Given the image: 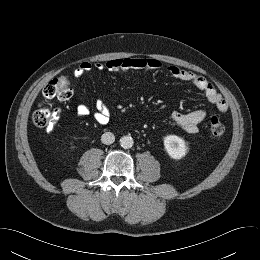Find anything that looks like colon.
Segmentation results:
<instances>
[{
	"label": "colon",
	"instance_id": "obj_1",
	"mask_svg": "<svg viewBox=\"0 0 260 260\" xmlns=\"http://www.w3.org/2000/svg\"><path fill=\"white\" fill-rule=\"evenodd\" d=\"M73 89L67 75H60L53 78L43 89V95L47 99L67 101L71 98ZM58 117L57 110H51L46 106H40L33 114V122L40 128H52ZM209 131L215 138L221 137L225 132V126L221 120L212 116L209 119Z\"/></svg>",
	"mask_w": 260,
	"mask_h": 260
}]
</instances>
